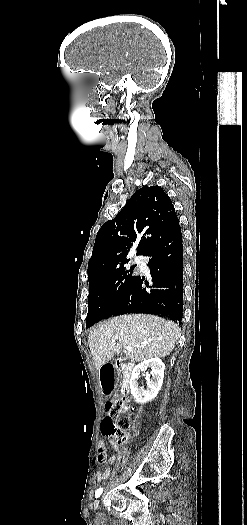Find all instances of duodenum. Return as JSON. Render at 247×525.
<instances>
[{"mask_svg":"<svg viewBox=\"0 0 247 525\" xmlns=\"http://www.w3.org/2000/svg\"><path fill=\"white\" fill-rule=\"evenodd\" d=\"M132 369L133 365L123 358L104 363L99 370V379L103 393L106 395L112 393L116 382L115 372L120 371L122 373L121 390L124 394H128Z\"/></svg>","mask_w":247,"mask_h":525,"instance_id":"1","label":"duodenum"}]
</instances>
